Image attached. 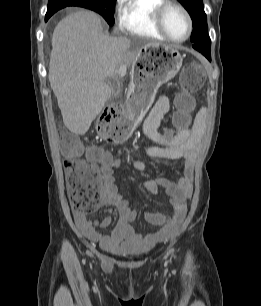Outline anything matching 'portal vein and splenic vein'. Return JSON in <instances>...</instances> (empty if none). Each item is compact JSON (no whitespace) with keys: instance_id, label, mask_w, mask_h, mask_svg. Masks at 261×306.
I'll return each mask as SVG.
<instances>
[{"instance_id":"18ae733b","label":"portal vein and splenic vein","mask_w":261,"mask_h":306,"mask_svg":"<svg viewBox=\"0 0 261 306\" xmlns=\"http://www.w3.org/2000/svg\"><path fill=\"white\" fill-rule=\"evenodd\" d=\"M124 71H123V69H120L119 70V74H122Z\"/></svg>"}]
</instances>
